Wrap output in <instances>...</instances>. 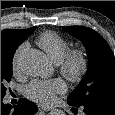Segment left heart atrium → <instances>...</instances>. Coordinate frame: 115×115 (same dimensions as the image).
Segmentation results:
<instances>
[{
	"label": "left heart atrium",
	"mask_w": 115,
	"mask_h": 115,
	"mask_svg": "<svg viewBox=\"0 0 115 115\" xmlns=\"http://www.w3.org/2000/svg\"><path fill=\"white\" fill-rule=\"evenodd\" d=\"M65 90L66 85L61 79L33 80L24 88V95L41 105H50Z\"/></svg>",
	"instance_id": "39dd6f15"
}]
</instances>
